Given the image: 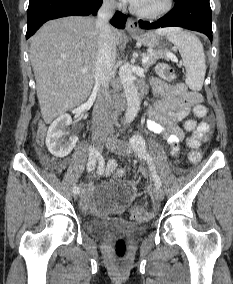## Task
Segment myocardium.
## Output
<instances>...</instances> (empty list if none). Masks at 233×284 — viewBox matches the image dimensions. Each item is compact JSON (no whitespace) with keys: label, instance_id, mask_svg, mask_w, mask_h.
I'll return each mask as SVG.
<instances>
[{"label":"myocardium","instance_id":"myocardium-1","mask_svg":"<svg viewBox=\"0 0 233 284\" xmlns=\"http://www.w3.org/2000/svg\"><path fill=\"white\" fill-rule=\"evenodd\" d=\"M174 1L173 0H164V3L161 7L154 9V10H142L138 7L133 9L134 13L144 19H156L162 17L163 15L167 14L173 7Z\"/></svg>","mask_w":233,"mask_h":284}]
</instances>
